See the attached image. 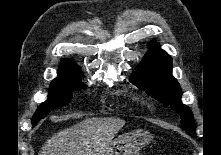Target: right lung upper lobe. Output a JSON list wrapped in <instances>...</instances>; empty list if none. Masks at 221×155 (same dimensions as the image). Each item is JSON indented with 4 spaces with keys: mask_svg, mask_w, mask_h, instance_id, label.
I'll return each mask as SVG.
<instances>
[{
    "mask_svg": "<svg viewBox=\"0 0 221 155\" xmlns=\"http://www.w3.org/2000/svg\"><path fill=\"white\" fill-rule=\"evenodd\" d=\"M80 71L78 66L70 60H66L62 62L59 75L68 74L71 72Z\"/></svg>",
    "mask_w": 221,
    "mask_h": 155,
    "instance_id": "1",
    "label": "right lung upper lobe"
}]
</instances>
